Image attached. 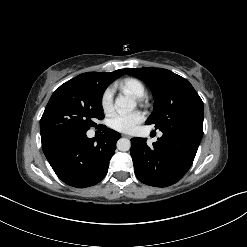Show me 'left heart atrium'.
I'll return each mask as SVG.
<instances>
[{
	"mask_svg": "<svg viewBox=\"0 0 247 247\" xmlns=\"http://www.w3.org/2000/svg\"><path fill=\"white\" fill-rule=\"evenodd\" d=\"M142 120L143 115L137 111L116 113L110 119V126L120 132H131Z\"/></svg>",
	"mask_w": 247,
	"mask_h": 247,
	"instance_id": "39dd6f15",
	"label": "left heart atrium"
}]
</instances>
